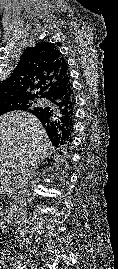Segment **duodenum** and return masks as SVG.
<instances>
[{
    "label": "duodenum",
    "mask_w": 118,
    "mask_h": 269,
    "mask_svg": "<svg viewBox=\"0 0 118 269\" xmlns=\"http://www.w3.org/2000/svg\"><path fill=\"white\" fill-rule=\"evenodd\" d=\"M15 210V205L10 206L4 213L0 215L1 220L4 221L6 224L10 223L14 217Z\"/></svg>",
    "instance_id": "obj_1"
}]
</instances>
